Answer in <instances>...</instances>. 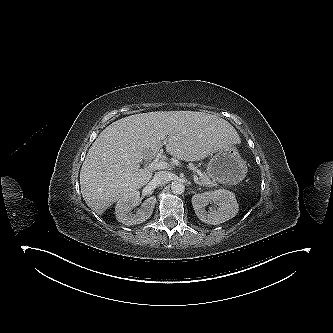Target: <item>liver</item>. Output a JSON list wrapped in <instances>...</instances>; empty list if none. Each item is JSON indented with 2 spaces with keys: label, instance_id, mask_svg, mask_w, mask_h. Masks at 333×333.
<instances>
[{
  "label": "liver",
  "instance_id": "liver-1",
  "mask_svg": "<svg viewBox=\"0 0 333 333\" xmlns=\"http://www.w3.org/2000/svg\"><path fill=\"white\" fill-rule=\"evenodd\" d=\"M241 142L224 119L203 112L155 111L135 114L106 127L94 141L80 171L86 204L98 215L123 195L145 186L152 171L140 168L165 145L184 161H200Z\"/></svg>",
  "mask_w": 333,
  "mask_h": 333
}]
</instances>
